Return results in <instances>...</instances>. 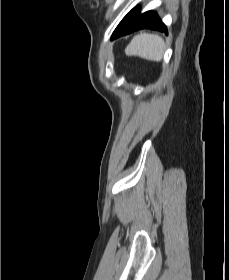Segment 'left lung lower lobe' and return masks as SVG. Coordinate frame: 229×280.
I'll return each mask as SVG.
<instances>
[{
	"label": "left lung lower lobe",
	"instance_id": "0a47b994",
	"mask_svg": "<svg viewBox=\"0 0 229 280\" xmlns=\"http://www.w3.org/2000/svg\"><path fill=\"white\" fill-rule=\"evenodd\" d=\"M144 28L165 31L167 33L165 24L162 23L154 11H147L140 14L139 8L136 7L132 9L119 23L111 39L118 38Z\"/></svg>",
	"mask_w": 229,
	"mask_h": 280
}]
</instances>
